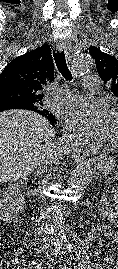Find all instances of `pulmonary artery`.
Masks as SVG:
<instances>
[{
	"instance_id": "obj_1",
	"label": "pulmonary artery",
	"mask_w": 118,
	"mask_h": 269,
	"mask_svg": "<svg viewBox=\"0 0 118 269\" xmlns=\"http://www.w3.org/2000/svg\"><path fill=\"white\" fill-rule=\"evenodd\" d=\"M84 85L87 89L94 90L99 85V79L94 76L86 77L84 79ZM81 99H82V95L79 92L74 91V90H69L66 92L65 96L55 97L53 101L56 104L67 106V105L77 104L78 102H80Z\"/></svg>"
}]
</instances>
